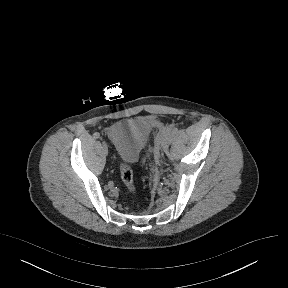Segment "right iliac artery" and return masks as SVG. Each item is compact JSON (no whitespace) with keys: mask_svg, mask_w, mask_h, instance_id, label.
<instances>
[{"mask_svg":"<svg viewBox=\"0 0 288 288\" xmlns=\"http://www.w3.org/2000/svg\"><path fill=\"white\" fill-rule=\"evenodd\" d=\"M93 137H94L95 139H98V138H100V134L96 132V133L93 134Z\"/></svg>","mask_w":288,"mask_h":288,"instance_id":"1","label":"right iliac artery"}]
</instances>
